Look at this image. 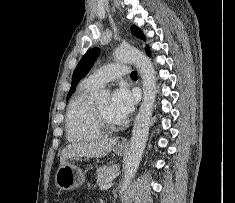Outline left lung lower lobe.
Returning a JSON list of instances; mask_svg holds the SVG:
<instances>
[{
  "mask_svg": "<svg viewBox=\"0 0 235 203\" xmlns=\"http://www.w3.org/2000/svg\"><path fill=\"white\" fill-rule=\"evenodd\" d=\"M146 52H147V54H149V55H150V51H149V49H147V50H146Z\"/></svg>",
  "mask_w": 235,
  "mask_h": 203,
  "instance_id": "0a47b994",
  "label": "left lung lower lobe"
}]
</instances>
